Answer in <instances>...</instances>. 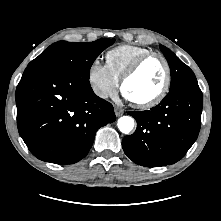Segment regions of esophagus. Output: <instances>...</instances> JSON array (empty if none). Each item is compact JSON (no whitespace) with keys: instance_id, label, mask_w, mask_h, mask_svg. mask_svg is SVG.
Wrapping results in <instances>:
<instances>
[{"instance_id":"34e87169","label":"esophagus","mask_w":221,"mask_h":221,"mask_svg":"<svg viewBox=\"0 0 221 221\" xmlns=\"http://www.w3.org/2000/svg\"><path fill=\"white\" fill-rule=\"evenodd\" d=\"M114 112L117 117H120L121 115H123L124 110L121 107L116 106Z\"/></svg>"}]
</instances>
